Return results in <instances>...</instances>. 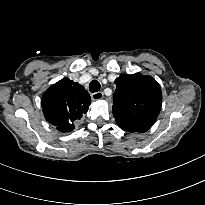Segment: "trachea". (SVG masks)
Instances as JSON below:
<instances>
[{
	"label": "trachea",
	"instance_id": "1",
	"mask_svg": "<svg viewBox=\"0 0 205 205\" xmlns=\"http://www.w3.org/2000/svg\"><path fill=\"white\" fill-rule=\"evenodd\" d=\"M100 88V83L97 80H92L89 84V90L92 93L98 92Z\"/></svg>",
	"mask_w": 205,
	"mask_h": 205
}]
</instances>
